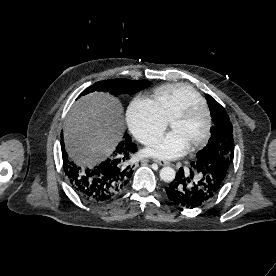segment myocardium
Here are the masks:
<instances>
[{
    "label": "myocardium",
    "instance_id": "1",
    "mask_svg": "<svg viewBox=\"0 0 276 276\" xmlns=\"http://www.w3.org/2000/svg\"><path fill=\"white\" fill-rule=\"evenodd\" d=\"M198 112H203L206 116V127L203 136L201 139L196 142L193 146L189 148L190 151H196L199 149H202L208 142L210 135H211V130H212V114L206 104H200V103H192L179 111L176 115L172 117L170 120V124L174 121H179V120H188L191 117H193L195 114Z\"/></svg>",
    "mask_w": 276,
    "mask_h": 276
}]
</instances>
